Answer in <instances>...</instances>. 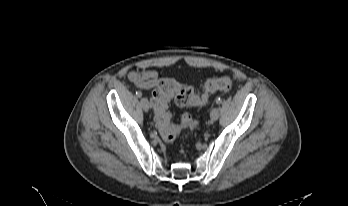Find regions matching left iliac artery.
I'll return each instance as SVG.
<instances>
[{"instance_id":"44dca946","label":"left iliac artery","mask_w":348,"mask_h":206,"mask_svg":"<svg viewBox=\"0 0 348 206\" xmlns=\"http://www.w3.org/2000/svg\"><path fill=\"white\" fill-rule=\"evenodd\" d=\"M221 102H222L221 98L218 97V98L216 99V103H217V104H220Z\"/></svg>"}]
</instances>
